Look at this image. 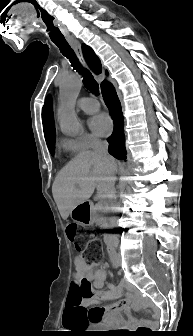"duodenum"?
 Segmentation results:
<instances>
[{"label":"duodenum","mask_w":193,"mask_h":336,"mask_svg":"<svg viewBox=\"0 0 193 336\" xmlns=\"http://www.w3.org/2000/svg\"><path fill=\"white\" fill-rule=\"evenodd\" d=\"M110 255H111V259H112V262L113 264L115 265L116 264V258H117V255H116V252H115V249L114 247L112 246L111 249H110ZM118 261V260H117ZM136 305L139 306L141 305V301L138 299L136 301Z\"/></svg>","instance_id":"obj_1"}]
</instances>
